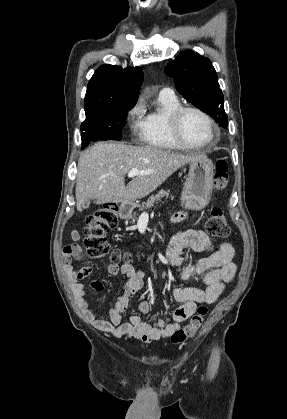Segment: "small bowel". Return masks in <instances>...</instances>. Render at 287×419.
Segmentation results:
<instances>
[{"label":"small bowel","mask_w":287,"mask_h":419,"mask_svg":"<svg viewBox=\"0 0 287 419\" xmlns=\"http://www.w3.org/2000/svg\"><path fill=\"white\" fill-rule=\"evenodd\" d=\"M184 217V213L177 214L174 217V221L179 222ZM80 237L79 231H71L70 239L72 242L63 248L62 265L84 317L97 329L118 338H135L148 343L160 338L170 337L183 322L193 315L197 304H211L215 302L224 290L225 283L231 281L236 272V265L233 262L234 248L228 242L221 243L213 254L199 263L193 266L181 267L180 254L183 249L191 248L196 252H202L210 245V240L205 232L201 230L188 229L179 232L169 242L166 251L167 259L171 266L181 267L180 277L182 279L201 277L206 288H175L173 296L181 305L174 311L171 321L158 320L149 324L143 322L140 316L131 315L129 321L124 322L123 315L129 308L132 296L142 288L146 273L141 269L133 267L127 260L122 264L112 261L108 265V273L111 275L121 273L126 276V281L115 305L108 312V318L105 319L97 311L90 308L85 296L84 286L80 282L92 274V266L87 265L77 270H74L72 266L75 259L83 258L82 249L77 243ZM89 287L95 291H101L103 283L100 280H92L89 283ZM139 310L142 313H148L150 311V303L147 301L141 302Z\"/></svg>","instance_id":"c3829d8e"}]
</instances>
